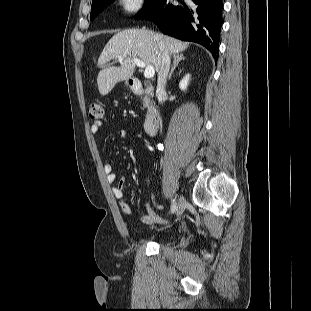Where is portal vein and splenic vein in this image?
<instances>
[{"instance_id": "18ae733b", "label": "portal vein and splenic vein", "mask_w": 311, "mask_h": 311, "mask_svg": "<svg viewBox=\"0 0 311 311\" xmlns=\"http://www.w3.org/2000/svg\"><path fill=\"white\" fill-rule=\"evenodd\" d=\"M123 58H124L123 56H119V57H118V60H119L120 62H122V61H123ZM132 60H133V62H134L137 66H139V67H141V68H145V71H144V77H145V78L150 79V78H152V77L154 76V74H155V69H154V67H153L152 65L145 64L143 61H141V60L138 59V58H133Z\"/></svg>"}]
</instances>
